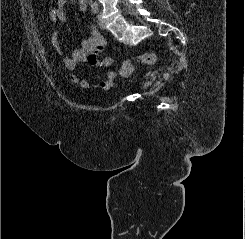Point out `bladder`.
Wrapping results in <instances>:
<instances>
[{
	"instance_id": "1",
	"label": "bladder",
	"mask_w": 245,
	"mask_h": 239,
	"mask_svg": "<svg viewBox=\"0 0 245 239\" xmlns=\"http://www.w3.org/2000/svg\"><path fill=\"white\" fill-rule=\"evenodd\" d=\"M149 85H150L149 82H143V83H140V84L137 86V88H138V89H143V88L148 87Z\"/></svg>"
}]
</instances>
